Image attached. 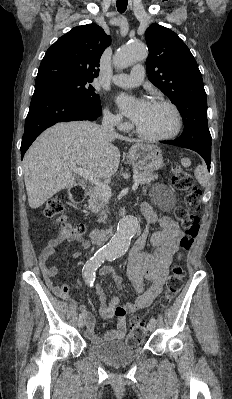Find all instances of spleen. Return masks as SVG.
<instances>
[{"label":"spleen","instance_id":"3e777b00","mask_svg":"<svg viewBox=\"0 0 232 399\" xmlns=\"http://www.w3.org/2000/svg\"><path fill=\"white\" fill-rule=\"evenodd\" d=\"M195 178L198 180L200 186L206 188L209 182V174L206 166H197L195 170Z\"/></svg>","mask_w":232,"mask_h":399}]
</instances>
